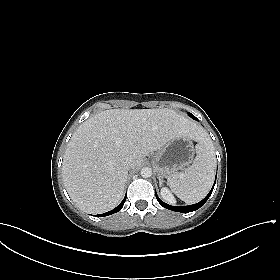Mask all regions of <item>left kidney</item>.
<instances>
[{
	"instance_id": "left-kidney-1",
	"label": "left kidney",
	"mask_w": 280,
	"mask_h": 280,
	"mask_svg": "<svg viewBox=\"0 0 280 280\" xmlns=\"http://www.w3.org/2000/svg\"><path fill=\"white\" fill-rule=\"evenodd\" d=\"M160 193H161V196L163 197V199H165L169 203H175L176 202L174 196L172 195V193L170 192V190L168 188H166V187L161 188Z\"/></svg>"
}]
</instances>
